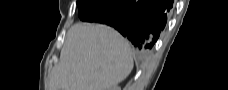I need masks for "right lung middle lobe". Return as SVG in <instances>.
<instances>
[{"mask_svg": "<svg viewBox=\"0 0 228 90\" xmlns=\"http://www.w3.org/2000/svg\"><path fill=\"white\" fill-rule=\"evenodd\" d=\"M97 0H77V6L79 8L78 15L81 18L84 15V9L89 6H94L97 3Z\"/></svg>", "mask_w": 228, "mask_h": 90, "instance_id": "obj_1", "label": "right lung middle lobe"}]
</instances>
